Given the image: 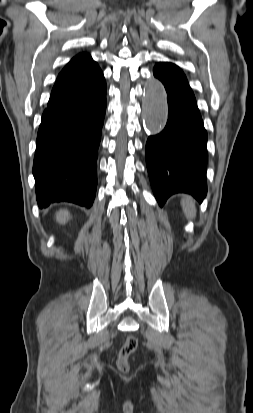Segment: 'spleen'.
<instances>
[{
    "mask_svg": "<svg viewBox=\"0 0 253 413\" xmlns=\"http://www.w3.org/2000/svg\"><path fill=\"white\" fill-rule=\"evenodd\" d=\"M182 208L186 218L193 219L196 216V208L194 200L191 197L185 196L181 200Z\"/></svg>",
    "mask_w": 253,
    "mask_h": 413,
    "instance_id": "obj_1",
    "label": "spleen"
}]
</instances>
